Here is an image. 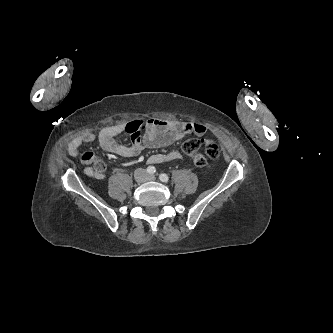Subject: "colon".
Masks as SVG:
<instances>
[{"label": "colon", "instance_id": "colon-1", "mask_svg": "<svg viewBox=\"0 0 333 333\" xmlns=\"http://www.w3.org/2000/svg\"><path fill=\"white\" fill-rule=\"evenodd\" d=\"M201 145V139L190 138L183 144L182 150L185 154L192 157L198 167H205L209 161H217L219 159V148L216 144L210 143L206 145L204 154L198 153Z\"/></svg>", "mask_w": 333, "mask_h": 333}]
</instances>
